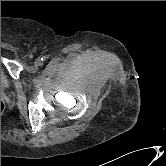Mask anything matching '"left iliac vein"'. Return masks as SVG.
I'll use <instances>...</instances> for the list:
<instances>
[{
    "label": "left iliac vein",
    "mask_w": 166,
    "mask_h": 166,
    "mask_svg": "<svg viewBox=\"0 0 166 166\" xmlns=\"http://www.w3.org/2000/svg\"><path fill=\"white\" fill-rule=\"evenodd\" d=\"M35 67H39L42 65V61L40 59H37L34 63Z\"/></svg>",
    "instance_id": "left-iliac-vein-1"
}]
</instances>
